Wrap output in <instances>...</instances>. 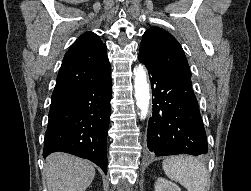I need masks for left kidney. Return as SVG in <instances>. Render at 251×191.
I'll return each instance as SVG.
<instances>
[{
  "label": "left kidney",
  "instance_id": "left-kidney-1",
  "mask_svg": "<svg viewBox=\"0 0 251 191\" xmlns=\"http://www.w3.org/2000/svg\"><path fill=\"white\" fill-rule=\"evenodd\" d=\"M155 191H181L180 187L164 177H157L155 181Z\"/></svg>",
  "mask_w": 251,
  "mask_h": 191
}]
</instances>
